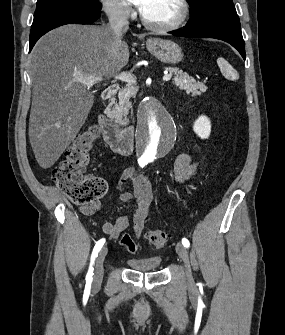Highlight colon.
Masks as SVG:
<instances>
[{
	"label": "colon",
	"instance_id": "5ec220e1",
	"mask_svg": "<svg viewBox=\"0 0 285 335\" xmlns=\"http://www.w3.org/2000/svg\"><path fill=\"white\" fill-rule=\"evenodd\" d=\"M99 135V127L95 125L85 129L67 149L64 160L53 170L55 184L75 204H91L100 199L107 190V183L103 178L85 176L90 153ZM147 239L160 249L167 244L169 237L162 230H153L147 234ZM119 243L130 253L138 251L137 244L127 232L121 234Z\"/></svg>",
	"mask_w": 285,
	"mask_h": 335
}]
</instances>
